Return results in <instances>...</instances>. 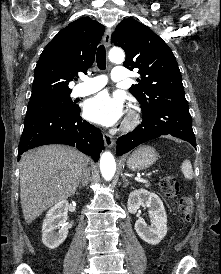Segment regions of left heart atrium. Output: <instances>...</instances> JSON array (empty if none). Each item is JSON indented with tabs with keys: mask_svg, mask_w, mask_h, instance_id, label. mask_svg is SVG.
Masks as SVG:
<instances>
[{
	"mask_svg": "<svg viewBox=\"0 0 221 274\" xmlns=\"http://www.w3.org/2000/svg\"><path fill=\"white\" fill-rule=\"evenodd\" d=\"M83 112L94 123L112 126L123 116L124 100L119 95L101 92L85 102Z\"/></svg>",
	"mask_w": 221,
	"mask_h": 274,
	"instance_id": "39dd6f15",
	"label": "left heart atrium"
}]
</instances>
